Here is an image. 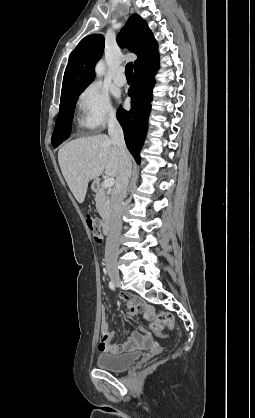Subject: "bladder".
<instances>
[{"label": "bladder", "instance_id": "bladder-1", "mask_svg": "<svg viewBox=\"0 0 255 418\" xmlns=\"http://www.w3.org/2000/svg\"><path fill=\"white\" fill-rule=\"evenodd\" d=\"M141 356V352L133 351L123 354H100L96 359L97 366L101 369L121 372L129 368Z\"/></svg>", "mask_w": 255, "mask_h": 418}]
</instances>
